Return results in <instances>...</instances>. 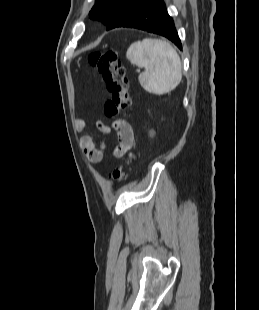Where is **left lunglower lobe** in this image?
<instances>
[{"label":"left lung lower lobe","instance_id":"1","mask_svg":"<svg viewBox=\"0 0 259 310\" xmlns=\"http://www.w3.org/2000/svg\"><path fill=\"white\" fill-rule=\"evenodd\" d=\"M115 27L137 28L159 34L168 38L182 49L173 20L167 13L165 3L161 0H150L132 9Z\"/></svg>","mask_w":259,"mask_h":310}]
</instances>
